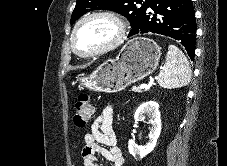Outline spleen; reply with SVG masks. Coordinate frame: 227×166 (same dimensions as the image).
I'll list each match as a JSON object with an SVG mask.
<instances>
[{
  "instance_id": "obj_1",
  "label": "spleen",
  "mask_w": 227,
  "mask_h": 166,
  "mask_svg": "<svg viewBox=\"0 0 227 166\" xmlns=\"http://www.w3.org/2000/svg\"><path fill=\"white\" fill-rule=\"evenodd\" d=\"M192 71L184 53L175 45H169L166 63L158 75L161 87L172 89L188 85Z\"/></svg>"
}]
</instances>
